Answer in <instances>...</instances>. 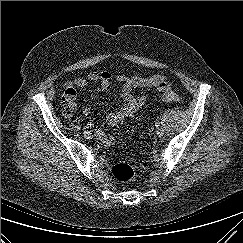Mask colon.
<instances>
[{
	"mask_svg": "<svg viewBox=\"0 0 243 243\" xmlns=\"http://www.w3.org/2000/svg\"><path fill=\"white\" fill-rule=\"evenodd\" d=\"M162 101L166 103H180L183 97L173 91H164L161 95ZM62 109L65 116L72 114L74 110V101L66 93L62 99ZM139 168L142 171H147L149 169V162L147 160H142L139 164ZM113 178L121 183L131 182L137 178V172L133 166L127 163H117L112 167Z\"/></svg>",
	"mask_w": 243,
	"mask_h": 243,
	"instance_id": "5ec220e1",
	"label": "colon"
}]
</instances>
